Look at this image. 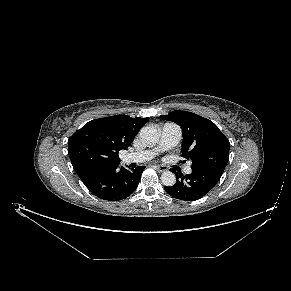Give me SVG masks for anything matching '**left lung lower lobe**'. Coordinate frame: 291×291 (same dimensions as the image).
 <instances>
[{
  "label": "left lung lower lobe",
  "instance_id": "1",
  "mask_svg": "<svg viewBox=\"0 0 291 291\" xmlns=\"http://www.w3.org/2000/svg\"><path fill=\"white\" fill-rule=\"evenodd\" d=\"M172 171L177 176L176 183L164 189L172 197L184 201H194L205 196L216 185L223 173L219 170L193 169L191 174L182 176Z\"/></svg>",
  "mask_w": 291,
  "mask_h": 291
}]
</instances>
